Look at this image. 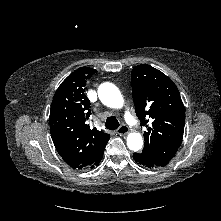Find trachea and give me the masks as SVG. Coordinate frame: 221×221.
Instances as JSON below:
<instances>
[{"label": "trachea", "mask_w": 221, "mask_h": 221, "mask_svg": "<svg viewBox=\"0 0 221 221\" xmlns=\"http://www.w3.org/2000/svg\"><path fill=\"white\" fill-rule=\"evenodd\" d=\"M119 125L118 120L114 116L108 117L105 123V127L109 130H115L119 127Z\"/></svg>", "instance_id": "trachea-1"}]
</instances>
